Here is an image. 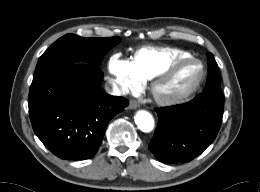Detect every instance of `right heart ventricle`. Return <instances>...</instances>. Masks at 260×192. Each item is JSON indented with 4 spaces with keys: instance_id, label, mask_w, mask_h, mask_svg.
<instances>
[{
    "instance_id": "right-heart-ventricle-1",
    "label": "right heart ventricle",
    "mask_w": 260,
    "mask_h": 192,
    "mask_svg": "<svg viewBox=\"0 0 260 192\" xmlns=\"http://www.w3.org/2000/svg\"><path fill=\"white\" fill-rule=\"evenodd\" d=\"M189 56L188 52L176 48L145 47L136 52L132 64L142 80H149L172 63Z\"/></svg>"
}]
</instances>
